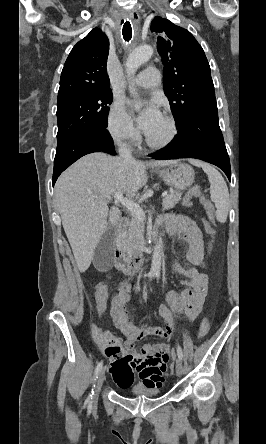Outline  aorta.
<instances>
[{"label":"aorta","instance_id":"obj_1","mask_svg":"<svg viewBox=\"0 0 266 444\" xmlns=\"http://www.w3.org/2000/svg\"><path fill=\"white\" fill-rule=\"evenodd\" d=\"M153 54V48L149 45L139 46L134 49L129 55L126 61V72L129 77L133 76L137 69L146 61H148ZM130 92L133 96H137V92L134 87H130ZM162 260V240L159 238L154 247L151 273L160 274Z\"/></svg>","mask_w":266,"mask_h":444}]
</instances>
